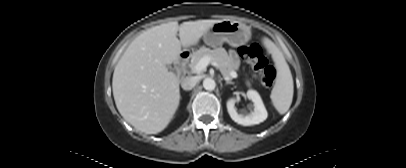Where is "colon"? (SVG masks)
Masks as SVG:
<instances>
[{
	"label": "colon",
	"mask_w": 406,
	"mask_h": 168,
	"mask_svg": "<svg viewBox=\"0 0 406 168\" xmlns=\"http://www.w3.org/2000/svg\"><path fill=\"white\" fill-rule=\"evenodd\" d=\"M239 55L245 62L251 64L253 68L260 73L264 86L270 87L273 85L276 77L275 68L269 64L259 44L252 43L240 47Z\"/></svg>",
	"instance_id": "5ec220e1"
}]
</instances>
